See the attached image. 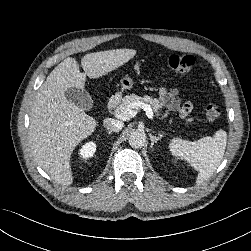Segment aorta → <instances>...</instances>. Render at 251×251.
I'll use <instances>...</instances> for the list:
<instances>
[{
    "mask_svg": "<svg viewBox=\"0 0 251 251\" xmlns=\"http://www.w3.org/2000/svg\"><path fill=\"white\" fill-rule=\"evenodd\" d=\"M146 142V136L143 132L134 131L129 136V144L133 148H141Z\"/></svg>",
    "mask_w": 251,
    "mask_h": 251,
    "instance_id": "aorta-1",
    "label": "aorta"
}]
</instances>
